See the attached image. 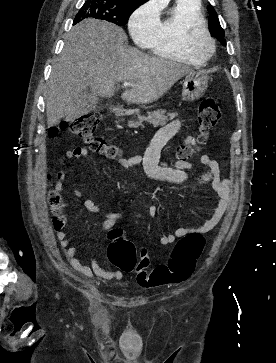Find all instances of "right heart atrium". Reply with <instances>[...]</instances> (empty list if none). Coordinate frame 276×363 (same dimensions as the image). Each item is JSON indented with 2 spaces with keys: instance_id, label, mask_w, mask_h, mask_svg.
<instances>
[{
  "instance_id": "1",
  "label": "right heart atrium",
  "mask_w": 276,
  "mask_h": 363,
  "mask_svg": "<svg viewBox=\"0 0 276 363\" xmlns=\"http://www.w3.org/2000/svg\"><path fill=\"white\" fill-rule=\"evenodd\" d=\"M159 5L151 0L140 5L130 16L129 32L135 42L148 44L159 26Z\"/></svg>"
}]
</instances>
